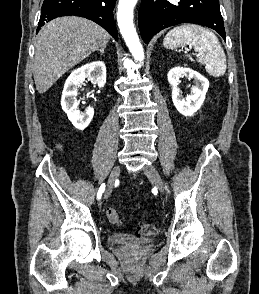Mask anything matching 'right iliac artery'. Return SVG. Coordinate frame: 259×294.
I'll return each mask as SVG.
<instances>
[{
	"label": "right iliac artery",
	"instance_id": "1",
	"mask_svg": "<svg viewBox=\"0 0 259 294\" xmlns=\"http://www.w3.org/2000/svg\"><path fill=\"white\" fill-rule=\"evenodd\" d=\"M104 190H105V184H102V185L100 186L99 190H98V193H97V199H100V198H101V196H102Z\"/></svg>",
	"mask_w": 259,
	"mask_h": 294
}]
</instances>
